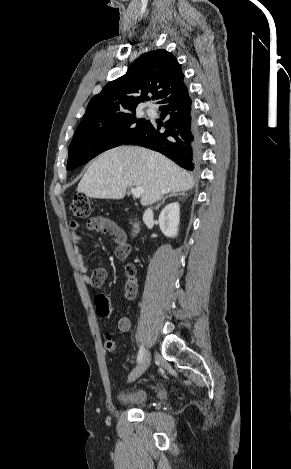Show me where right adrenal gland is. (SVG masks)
Returning a JSON list of instances; mask_svg holds the SVG:
<instances>
[{"label":"right adrenal gland","mask_w":291,"mask_h":469,"mask_svg":"<svg viewBox=\"0 0 291 469\" xmlns=\"http://www.w3.org/2000/svg\"><path fill=\"white\" fill-rule=\"evenodd\" d=\"M178 195L184 197V196H185V193H184V192H181V193L172 192V193H170L169 195L165 196V197L162 199V201L155 207V210H158L159 207H160L162 204H164V202H165V200H166L167 198H170V197H173V196H178Z\"/></svg>","instance_id":"right-adrenal-gland-1"}]
</instances>
